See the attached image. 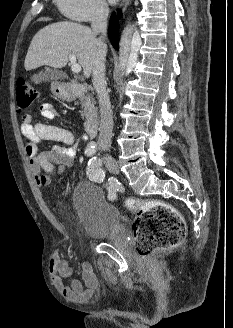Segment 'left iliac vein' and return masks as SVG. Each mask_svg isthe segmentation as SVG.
Segmentation results:
<instances>
[{
	"label": "left iliac vein",
	"mask_w": 233,
	"mask_h": 328,
	"mask_svg": "<svg viewBox=\"0 0 233 328\" xmlns=\"http://www.w3.org/2000/svg\"><path fill=\"white\" fill-rule=\"evenodd\" d=\"M105 165L112 174H118L119 168L117 161L109 154L104 157Z\"/></svg>",
	"instance_id": "4c4485c4"
}]
</instances>
